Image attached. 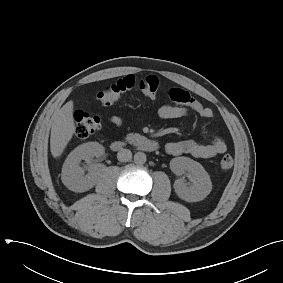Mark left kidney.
Here are the masks:
<instances>
[{"label":"left kidney","instance_id":"obj_1","mask_svg":"<svg viewBox=\"0 0 283 283\" xmlns=\"http://www.w3.org/2000/svg\"><path fill=\"white\" fill-rule=\"evenodd\" d=\"M170 169L177 176L188 172L192 182L190 186H187L182 178L174 182L173 187L179 198L187 202H198L210 194L212 190L211 179L200 163L188 157H177L170 161Z\"/></svg>","mask_w":283,"mask_h":283}]
</instances>
